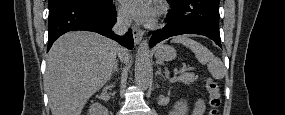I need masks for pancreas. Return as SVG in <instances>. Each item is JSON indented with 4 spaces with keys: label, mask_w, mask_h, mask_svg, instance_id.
Instances as JSON below:
<instances>
[{
    "label": "pancreas",
    "mask_w": 285,
    "mask_h": 115,
    "mask_svg": "<svg viewBox=\"0 0 285 115\" xmlns=\"http://www.w3.org/2000/svg\"><path fill=\"white\" fill-rule=\"evenodd\" d=\"M196 79L197 77L194 73L184 72L180 76H178L175 81L189 85L191 83H194Z\"/></svg>",
    "instance_id": "cf45deb5"
}]
</instances>
